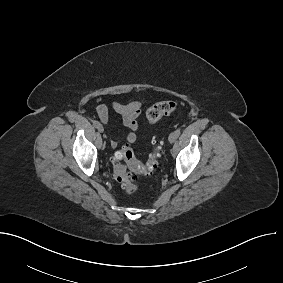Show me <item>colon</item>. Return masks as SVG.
<instances>
[{"mask_svg":"<svg viewBox=\"0 0 283 283\" xmlns=\"http://www.w3.org/2000/svg\"><path fill=\"white\" fill-rule=\"evenodd\" d=\"M178 106L172 101H162L152 105L146 112L148 123H156L163 117L170 116ZM161 155V146L154 144L152 151L145 161L137 160L133 149L124 146L116 151L113 158V178L128 194H134L138 190L137 175H150L158 167Z\"/></svg>","mask_w":283,"mask_h":283,"instance_id":"obj_1","label":"colon"}]
</instances>
